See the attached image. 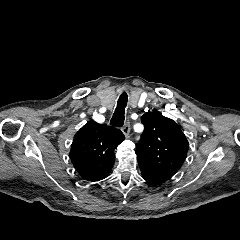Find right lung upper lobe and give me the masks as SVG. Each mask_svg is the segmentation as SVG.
I'll list each match as a JSON object with an SVG mask.
<instances>
[{"mask_svg":"<svg viewBox=\"0 0 240 240\" xmlns=\"http://www.w3.org/2000/svg\"><path fill=\"white\" fill-rule=\"evenodd\" d=\"M125 139L116 128L88 121L74 136L70 159L79 175L91 182L106 178L114 164V149Z\"/></svg>","mask_w":240,"mask_h":240,"instance_id":"obj_1","label":"right lung upper lobe"}]
</instances>
